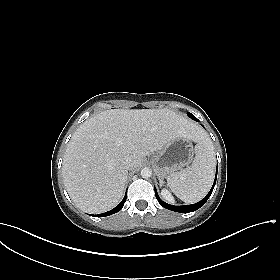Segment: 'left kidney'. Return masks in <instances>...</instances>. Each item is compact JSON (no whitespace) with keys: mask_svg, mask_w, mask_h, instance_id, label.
I'll list each match as a JSON object with an SVG mask.
<instances>
[{"mask_svg":"<svg viewBox=\"0 0 280 280\" xmlns=\"http://www.w3.org/2000/svg\"><path fill=\"white\" fill-rule=\"evenodd\" d=\"M161 195L165 200H167L171 203L174 202V197L172 196V194L167 189H165V188L162 189L161 190Z\"/></svg>","mask_w":280,"mask_h":280,"instance_id":"1","label":"left kidney"}]
</instances>
